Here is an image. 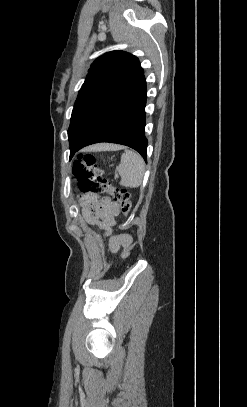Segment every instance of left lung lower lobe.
<instances>
[{
	"label": "left lung lower lobe",
	"instance_id": "0a47b994",
	"mask_svg": "<svg viewBox=\"0 0 247 407\" xmlns=\"http://www.w3.org/2000/svg\"><path fill=\"white\" fill-rule=\"evenodd\" d=\"M146 95V81L142 74L104 109L75 151L90 144L111 142L135 149L146 160Z\"/></svg>",
	"mask_w": 247,
	"mask_h": 407
}]
</instances>
